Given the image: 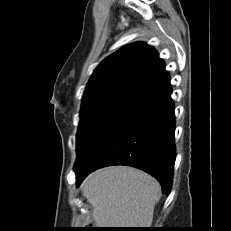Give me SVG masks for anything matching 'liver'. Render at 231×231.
I'll return each mask as SVG.
<instances>
[{"mask_svg": "<svg viewBox=\"0 0 231 231\" xmlns=\"http://www.w3.org/2000/svg\"><path fill=\"white\" fill-rule=\"evenodd\" d=\"M98 228H149L159 200L160 185L150 175L131 167L97 170L82 183Z\"/></svg>", "mask_w": 231, "mask_h": 231, "instance_id": "obj_1", "label": "liver"}]
</instances>
